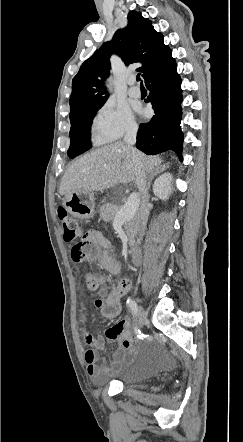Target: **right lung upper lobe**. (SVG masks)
Returning a JSON list of instances; mask_svg holds the SVG:
<instances>
[{"mask_svg":"<svg viewBox=\"0 0 243 442\" xmlns=\"http://www.w3.org/2000/svg\"><path fill=\"white\" fill-rule=\"evenodd\" d=\"M127 19V27L117 30L112 41L103 43L73 78L70 120L106 102L104 80L110 75L109 58L113 53L120 56L125 65L141 62L143 66L137 70L145 78L171 51L164 45L163 35L155 31L152 22L140 12H129Z\"/></svg>","mask_w":243,"mask_h":442,"instance_id":"1","label":"right lung upper lobe"}]
</instances>
